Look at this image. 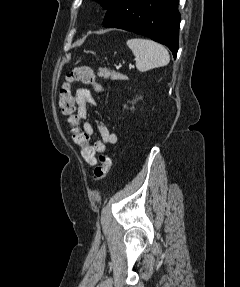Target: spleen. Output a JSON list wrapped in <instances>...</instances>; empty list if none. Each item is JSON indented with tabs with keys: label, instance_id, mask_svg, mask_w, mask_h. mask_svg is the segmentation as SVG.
Wrapping results in <instances>:
<instances>
[{
	"label": "spleen",
	"instance_id": "1",
	"mask_svg": "<svg viewBox=\"0 0 240 287\" xmlns=\"http://www.w3.org/2000/svg\"><path fill=\"white\" fill-rule=\"evenodd\" d=\"M127 45L135 56L137 69L141 72L165 66L170 61L165 47L150 39L132 38L127 41Z\"/></svg>",
	"mask_w": 240,
	"mask_h": 287
}]
</instances>
